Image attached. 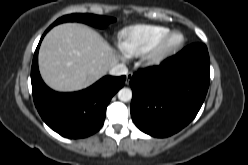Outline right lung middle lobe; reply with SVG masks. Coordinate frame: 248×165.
Segmentation results:
<instances>
[{"label":"right lung middle lobe","mask_w":248,"mask_h":165,"mask_svg":"<svg viewBox=\"0 0 248 165\" xmlns=\"http://www.w3.org/2000/svg\"><path fill=\"white\" fill-rule=\"evenodd\" d=\"M69 21L83 22L98 28H105L109 23L115 21V19L111 17L99 16L93 14H71L59 18L51 26L53 27L59 23L69 22Z\"/></svg>","instance_id":"right-lung-middle-lobe-1"}]
</instances>
